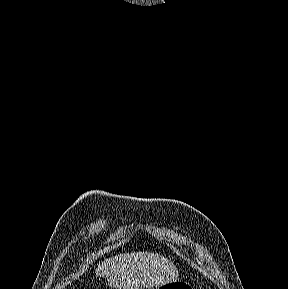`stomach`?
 Segmentation results:
<instances>
[{
	"label": "stomach",
	"instance_id": "0dacf381",
	"mask_svg": "<svg viewBox=\"0 0 288 289\" xmlns=\"http://www.w3.org/2000/svg\"><path fill=\"white\" fill-rule=\"evenodd\" d=\"M156 289H192L191 286L183 281L176 280L156 287Z\"/></svg>",
	"mask_w": 288,
	"mask_h": 289
}]
</instances>
